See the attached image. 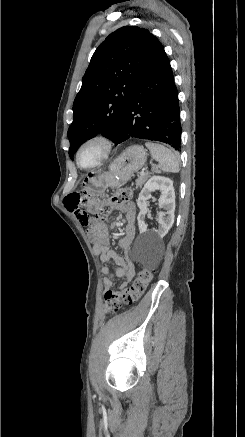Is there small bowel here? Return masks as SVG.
Returning <instances> with one entry per match:
<instances>
[{
    "label": "small bowel",
    "instance_id": "small-bowel-1",
    "mask_svg": "<svg viewBox=\"0 0 245 437\" xmlns=\"http://www.w3.org/2000/svg\"><path fill=\"white\" fill-rule=\"evenodd\" d=\"M94 205V203L89 204L86 199V193L83 191L73 192L65 199L66 209L78 218L81 229L91 228L93 231V252L102 262L106 263V265L102 267V273L105 275L103 279L104 287L106 289L110 288L117 279H120L118 288L120 290L124 289L136 275L135 263L128 254V250L136 234V208L132 202L114 203L112 205V209L122 211L126 217L124 236L118 243L119 247L124 251V254L119 256L110 248L108 227L105 224L93 221L91 215H84L87 214L86 208L92 209ZM110 267L115 269V273L110 271Z\"/></svg>",
    "mask_w": 245,
    "mask_h": 437
}]
</instances>
